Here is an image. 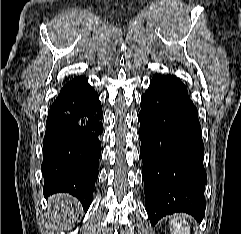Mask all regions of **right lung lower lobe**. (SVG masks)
Masks as SVG:
<instances>
[{
  "instance_id": "right-lung-lower-lobe-1",
  "label": "right lung lower lobe",
  "mask_w": 241,
  "mask_h": 234,
  "mask_svg": "<svg viewBox=\"0 0 241 234\" xmlns=\"http://www.w3.org/2000/svg\"><path fill=\"white\" fill-rule=\"evenodd\" d=\"M102 107L86 77L70 80L51 106L43 140V193L77 197L87 210L92 202L102 133Z\"/></svg>"
}]
</instances>
